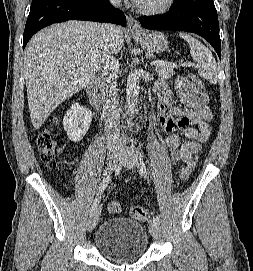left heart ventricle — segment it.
Returning <instances> with one entry per match:
<instances>
[{
    "label": "left heart ventricle",
    "mask_w": 253,
    "mask_h": 271,
    "mask_svg": "<svg viewBox=\"0 0 253 271\" xmlns=\"http://www.w3.org/2000/svg\"><path fill=\"white\" fill-rule=\"evenodd\" d=\"M162 0H145L141 5L148 6V5H155L160 3Z\"/></svg>",
    "instance_id": "1"
}]
</instances>
